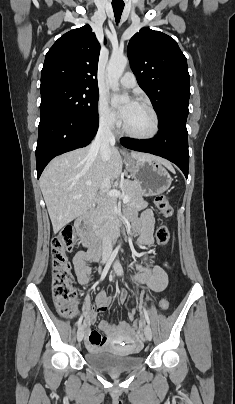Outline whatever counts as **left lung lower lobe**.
Wrapping results in <instances>:
<instances>
[{
	"mask_svg": "<svg viewBox=\"0 0 235 404\" xmlns=\"http://www.w3.org/2000/svg\"><path fill=\"white\" fill-rule=\"evenodd\" d=\"M121 144L129 149L148 152L175 163L188 176L189 151L188 132L185 122L174 121L162 127L152 139L134 140L121 138Z\"/></svg>",
	"mask_w": 235,
	"mask_h": 404,
	"instance_id": "0a47b994",
	"label": "left lung lower lobe"
}]
</instances>
